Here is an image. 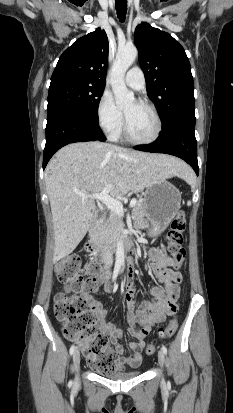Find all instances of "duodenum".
<instances>
[{
  "instance_id": "duodenum-1",
  "label": "duodenum",
  "mask_w": 233,
  "mask_h": 413,
  "mask_svg": "<svg viewBox=\"0 0 233 413\" xmlns=\"http://www.w3.org/2000/svg\"><path fill=\"white\" fill-rule=\"evenodd\" d=\"M117 242H120L126 249H130L133 245V242L131 239L127 237H119L117 239ZM85 249L87 252H89L91 255L95 256L97 259L103 261L106 259L107 252H108V247H97L92 243H88L85 246ZM130 265H132V261H130Z\"/></svg>"
}]
</instances>
